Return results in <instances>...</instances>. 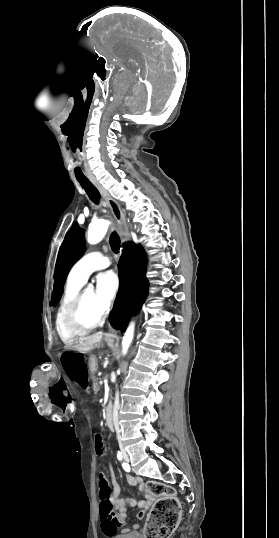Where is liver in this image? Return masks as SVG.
<instances>
[{
	"instance_id": "6515ba94",
	"label": "liver",
	"mask_w": 279,
	"mask_h": 538,
	"mask_svg": "<svg viewBox=\"0 0 279 538\" xmlns=\"http://www.w3.org/2000/svg\"><path fill=\"white\" fill-rule=\"evenodd\" d=\"M102 340V334H94V336H89V338H86L82 344H79V346H75L76 350L78 352H81V354H87V352H90V350H94L96 348L98 342H101Z\"/></svg>"
}]
</instances>
